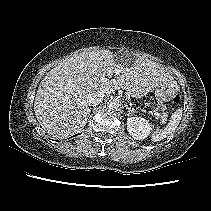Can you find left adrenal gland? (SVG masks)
<instances>
[{"mask_svg": "<svg viewBox=\"0 0 211 211\" xmlns=\"http://www.w3.org/2000/svg\"><path fill=\"white\" fill-rule=\"evenodd\" d=\"M126 109L128 110V113H127L128 116H130V114H132V113L134 114L136 111L134 108H132L131 104H130V106L126 105Z\"/></svg>", "mask_w": 211, "mask_h": 211, "instance_id": "a2214340", "label": "left adrenal gland"}]
</instances>
